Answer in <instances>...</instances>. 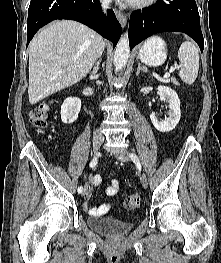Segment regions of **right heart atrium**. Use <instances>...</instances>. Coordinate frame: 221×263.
<instances>
[{
    "label": "right heart atrium",
    "mask_w": 221,
    "mask_h": 263,
    "mask_svg": "<svg viewBox=\"0 0 221 263\" xmlns=\"http://www.w3.org/2000/svg\"><path fill=\"white\" fill-rule=\"evenodd\" d=\"M103 4L107 5L108 4V0H100Z\"/></svg>",
    "instance_id": "right-heart-atrium-1"
}]
</instances>
